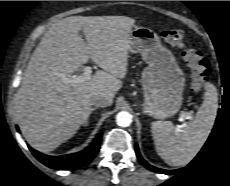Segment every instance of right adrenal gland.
I'll list each match as a JSON object with an SVG mask.
<instances>
[{"label": "right adrenal gland", "instance_id": "1", "mask_svg": "<svg viewBox=\"0 0 230 186\" xmlns=\"http://www.w3.org/2000/svg\"><path fill=\"white\" fill-rule=\"evenodd\" d=\"M96 109H97V107L93 108L92 111H95ZM88 123H89V120L87 119L86 122H85V124H84V126H87Z\"/></svg>", "mask_w": 230, "mask_h": 186}]
</instances>
